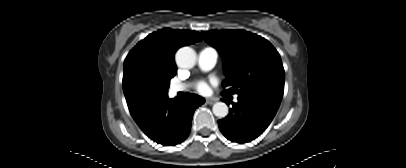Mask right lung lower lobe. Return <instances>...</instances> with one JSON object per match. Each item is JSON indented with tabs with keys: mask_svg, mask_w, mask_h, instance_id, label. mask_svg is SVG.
I'll return each instance as SVG.
<instances>
[{
	"mask_svg": "<svg viewBox=\"0 0 406 168\" xmlns=\"http://www.w3.org/2000/svg\"><path fill=\"white\" fill-rule=\"evenodd\" d=\"M204 102V98L195 94H187L181 102L167 97L142 107L132 117L150 139L164 146H174L188 137L193 113Z\"/></svg>",
	"mask_w": 406,
	"mask_h": 168,
	"instance_id": "obj_1",
	"label": "right lung lower lobe"
}]
</instances>
